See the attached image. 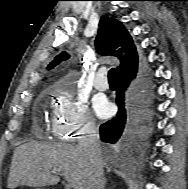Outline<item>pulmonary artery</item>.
<instances>
[{"mask_svg": "<svg viewBox=\"0 0 188 189\" xmlns=\"http://www.w3.org/2000/svg\"><path fill=\"white\" fill-rule=\"evenodd\" d=\"M93 84H94V87L100 91H104L108 88L109 84L106 78L105 69L101 68L96 72Z\"/></svg>", "mask_w": 188, "mask_h": 189, "instance_id": "obj_1", "label": "pulmonary artery"}]
</instances>
